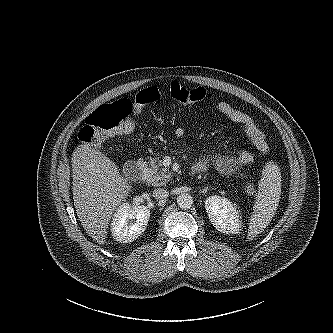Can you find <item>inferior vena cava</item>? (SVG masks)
<instances>
[{
    "mask_svg": "<svg viewBox=\"0 0 333 333\" xmlns=\"http://www.w3.org/2000/svg\"><path fill=\"white\" fill-rule=\"evenodd\" d=\"M169 196V192L163 188H157L153 191V197L158 200L166 199Z\"/></svg>",
    "mask_w": 333,
    "mask_h": 333,
    "instance_id": "obj_1",
    "label": "inferior vena cava"
}]
</instances>
